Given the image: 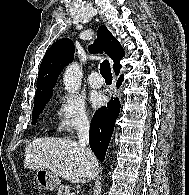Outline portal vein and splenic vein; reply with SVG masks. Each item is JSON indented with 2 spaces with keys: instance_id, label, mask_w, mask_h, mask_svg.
Wrapping results in <instances>:
<instances>
[{
  "instance_id": "portal-vein-and-splenic-vein-1",
  "label": "portal vein and splenic vein",
  "mask_w": 189,
  "mask_h": 195,
  "mask_svg": "<svg viewBox=\"0 0 189 195\" xmlns=\"http://www.w3.org/2000/svg\"><path fill=\"white\" fill-rule=\"evenodd\" d=\"M68 195H75L74 193H68Z\"/></svg>"
}]
</instances>
